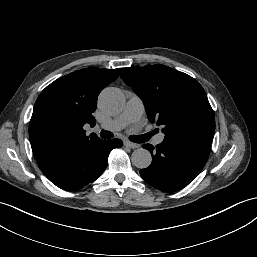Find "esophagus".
I'll return each instance as SVG.
<instances>
[{"instance_id": "1", "label": "esophagus", "mask_w": 257, "mask_h": 257, "mask_svg": "<svg viewBox=\"0 0 257 257\" xmlns=\"http://www.w3.org/2000/svg\"><path fill=\"white\" fill-rule=\"evenodd\" d=\"M124 145L126 147H129L131 149H136L139 147V144H135V143H132V142H129V141H124Z\"/></svg>"}]
</instances>
